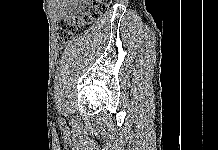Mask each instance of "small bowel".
<instances>
[{
	"label": "small bowel",
	"instance_id": "obj_1",
	"mask_svg": "<svg viewBox=\"0 0 218 150\" xmlns=\"http://www.w3.org/2000/svg\"><path fill=\"white\" fill-rule=\"evenodd\" d=\"M56 10V15L59 19L70 17L72 14L80 10L82 4L89 0H53Z\"/></svg>",
	"mask_w": 218,
	"mask_h": 150
}]
</instances>
